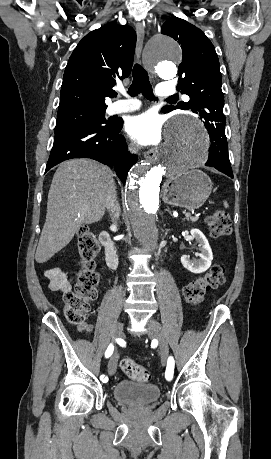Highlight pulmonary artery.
I'll return each instance as SVG.
<instances>
[{
    "instance_id": "pulmonary-artery-1",
    "label": "pulmonary artery",
    "mask_w": 271,
    "mask_h": 459,
    "mask_svg": "<svg viewBox=\"0 0 271 459\" xmlns=\"http://www.w3.org/2000/svg\"><path fill=\"white\" fill-rule=\"evenodd\" d=\"M158 98H171L175 92L174 83L172 81H162L158 84ZM120 96L123 98L116 99L106 108L107 115L131 113L140 109L141 103L130 97L124 89L119 90Z\"/></svg>"
}]
</instances>
